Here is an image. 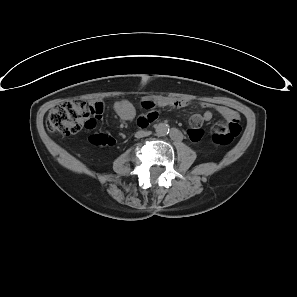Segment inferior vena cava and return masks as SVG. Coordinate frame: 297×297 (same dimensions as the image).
Instances as JSON below:
<instances>
[{
	"instance_id": "1",
	"label": "inferior vena cava",
	"mask_w": 297,
	"mask_h": 297,
	"mask_svg": "<svg viewBox=\"0 0 297 297\" xmlns=\"http://www.w3.org/2000/svg\"><path fill=\"white\" fill-rule=\"evenodd\" d=\"M151 135V131H138L135 133L136 138H142Z\"/></svg>"
}]
</instances>
